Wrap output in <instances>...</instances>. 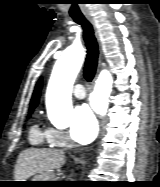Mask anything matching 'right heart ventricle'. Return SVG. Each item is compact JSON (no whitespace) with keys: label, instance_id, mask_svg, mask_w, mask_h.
Segmentation results:
<instances>
[{"label":"right heart ventricle","instance_id":"e07e8e85","mask_svg":"<svg viewBox=\"0 0 160 187\" xmlns=\"http://www.w3.org/2000/svg\"><path fill=\"white\" fill-rule=\"evenodd\" d=\"M29 140L33 145H43L46 139L45 131H41L37 125H34L29 133Z\"/></svg>","mask_w":160,"mask_h":187}]
</instances>
